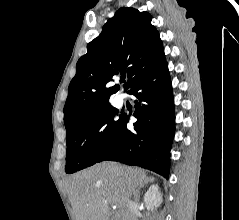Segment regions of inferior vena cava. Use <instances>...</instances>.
I'll use <instances>...</instances> for the list:
<instances>
[{
    "mask_svg": "<svg viewBox=\"0 0 239 220\" xmlns=\"http://www.w3.org/2000/svg\"><path fill=\"white\" fill-rule=\"evenodd\" d=\"M124 220H136V203L131 199H127V214Z\"/></svg>",
    "mask_w": 239,
    "mask_h": 220,
    "instance_id": "602c4592",
    "label": "inferior vena cava"
}]
</instances>
